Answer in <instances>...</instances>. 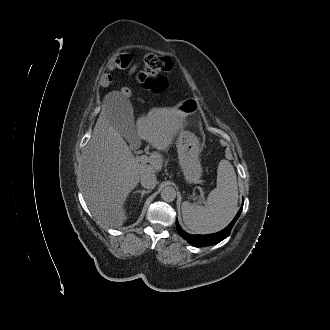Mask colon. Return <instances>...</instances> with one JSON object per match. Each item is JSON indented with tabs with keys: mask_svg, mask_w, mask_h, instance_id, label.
<instances>
[{
	"mask_svg": "<svg viewBox=\"0 0 330 330\" xmlns=\"http://www.w3.org/2000/svg\"><path fill=\"white\" fill-rule=\"evenodd\" d=\"M131 63V58L126 53L115 55L108 65V70L125 69ZM173 68V62L169 57L149 54L144 57L142 69L138 71L136 80L139 85L151 92H159L166 86V79L160 76L162 72H168ZM103 79L111 81L109 73L104 74ZM121 93L130 96L131 90L123 87Z\"/></svg>",
	"mask_w": 330,
	"mask_h": 330,
	"instance_id": "1",
	"label": "colon"
}]
</instances>
